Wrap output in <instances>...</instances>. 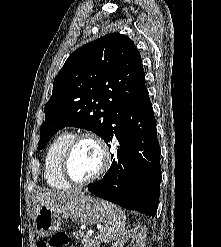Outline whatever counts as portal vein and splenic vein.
I'll list each match as a JSON object with an SVG mask.
<instances>
[{
	"mask_svg": "<svg viewBox=\"0 0 221 247\" xmlns=\"http://www.w3.org/2000/svg\"><path fill=\"white\" fill-rule=\"evenodd\" d=\"M93 234V231L92 230H89L88 232H87V235H92Z\"/></svg>",
	"mask_w": 221,
	"mask_h": 247,
	"instance_id": "portal-vein-and-splenic-vein-1",
	"label": "portal vein and splenic vein"
}]
</instances>
